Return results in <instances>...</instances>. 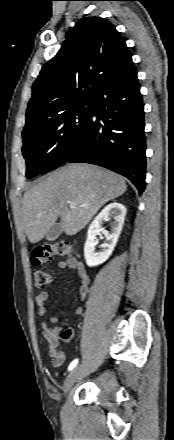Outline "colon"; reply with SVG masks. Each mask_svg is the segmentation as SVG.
I'll list each match as a JSON object with an SVG mask.
<instances>
[{"instance_id": "colon-1", "label": "colon", "mask_w": 174, "mask_h": 440, "mask_svg": "<svg viewBox=\"0 0 174 440\" xmlns=\"http://www.w3.org/2000/svg\"><path fill=\"white\" fill-rule=\"evenodd\" d=\"M72 254L71 246L67 242L45 243L35 248L31 253V261L39 266L51 262L56 257H68ZM34 285L37 288L46 287L52 280V275L40 269L33 272ZM71 329L66 328L60 333V338H68Z\"/></svg>"}]
</instances>
